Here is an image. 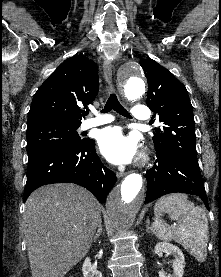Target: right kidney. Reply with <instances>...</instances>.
<instances>
[{
    "label": "right kidney",
    "instance_id": "obj_1",
    "mask_svg": "<svg viewBox=\"0 0 221 277\" xmlns=\"http://www.w3.org/2000/svg\"><path fill=\"white\" fill-rule=\"evenodd\" d=\"M83 277H102V273L91 265L90 258H86L82 266Z\"/></svg>",
    "mask_w": 221,
    "mask_h": 277
}]
</instances>
